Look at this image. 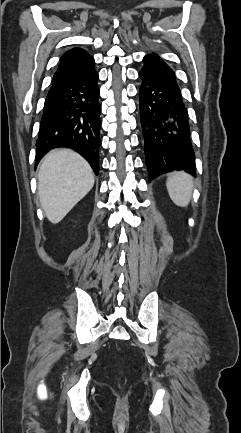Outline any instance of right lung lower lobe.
I'll list each match as a JSON object with an SVG mask.
<instances>
[{"label":"right lung lower lobe","mask_w":241,"mask_h":433,"mask_svg":"<svg viewBox=\"0 0 241 433\" xmlns=\"http://www.w3.org/2000/svg\"><path fill=\"white\" fill-rule=\"evenodd\" d=\"M94 63L52 81L36 142V164L55 147L79 152L99 173L100 91Z\"/></svg>","instance_id":"right-lung-lower-lobe-1"}]
</instances>
